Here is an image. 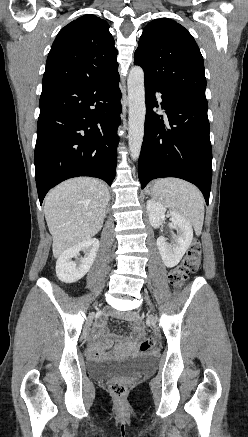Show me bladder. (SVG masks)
I'll return each mask as SVG.
<instances>
[{"label":"bladder","mask_w":248,"mask_h":437,"mask_svg":"<svg viewBox=\"0 0 248 437\" xmlns=\"http://www.w3.org/2000/svg\"><path fill=\"white\" fill-rule=\"evenodd\" d=\"M154 364L151 355L143 354L124 359L95 362L90 367L91 374L100 379H126L148 371Z\"/></svg>","instance_id":"obj_1"}]
</instances>
